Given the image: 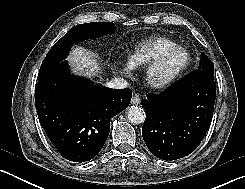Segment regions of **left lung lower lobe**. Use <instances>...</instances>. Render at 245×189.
<instances>
[{
	"instance_id": "1",
	"label": "left lung lower lobe",
	"mask_w": 245,
	"mask_h": 189,
	"mask_svg": "<svg viewBox=\"0 0 245 189\" xmlns=\"http://www.w3.org/2000/svg\"><path fill=\"white\" fill-rule=\"evenodd\" d=\"M215 97L214 76L199 69L162 93L147 95L141 101L142 136L152 154L176 160L192 153L211 124Z\"/></svg>"
}]
</instances>
